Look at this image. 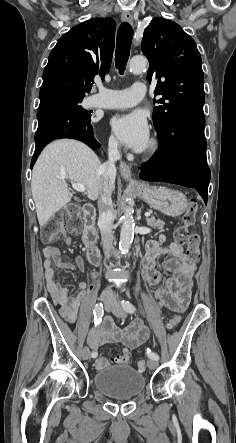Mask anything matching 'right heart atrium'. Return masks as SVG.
<instances>
[{"instance_id": "d8ad5b80", "label": "right heart atrium", "mask_w": 236, "mask_h": 443, "mask_svg": "<svg viewBox=\"0 0 236 443\" xmlns=\"http://www.w3.org/2000/svg\"><path fill=\"white\" fill-rule=\"evenodd\" d=\"M110 147H111V149H114L115 144H114L113 142H111V143H110Z\"/></svg>"}]
</instances>
